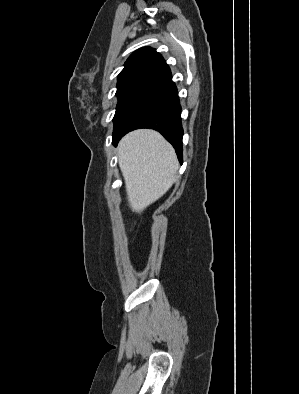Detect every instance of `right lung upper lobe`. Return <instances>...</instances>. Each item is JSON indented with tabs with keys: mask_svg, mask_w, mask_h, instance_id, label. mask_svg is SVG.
<instances>
[{
	"mask_svg": "<svg viewBox=\"0 0 299 394\" xmlns=\"http://www.w3.org/2000/svg\"><path fill=\"white\" fill-rule=\"evenodd\" d=\"M171 75L163 57L150 47L138 49L127 59L118 75L117 88L140 86L149 89Z\"/></svg>",
	"mask_w": 299,
	"mask_h": 394,
	"instance_id": "cb5924a9",
	"label": "right lung upper lobe"
}]
</instances>
